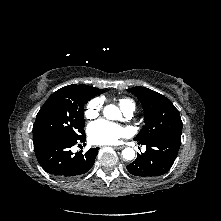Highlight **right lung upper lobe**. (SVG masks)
<instances>
[{
	"instance_id": "1",
	"label": "right lung upper lobe",
	"mask_w": 221,
	"mask_h": 221,
	"mask_svg": "<svg viewBox=\"0 0 221 221\" xmlns=\"http://www.w3.org/2000/svg\"><path fill=\"white\" fill-rule=\"evenodd\" d=\"M64 89H71V90H76V92H83L84 94H86L90 99L96 95H99L101 93H103L104 91L102 89H98L95 87H91L88 85H69V86H65L63 87Z\"/></svg>"
}]
</instances>
